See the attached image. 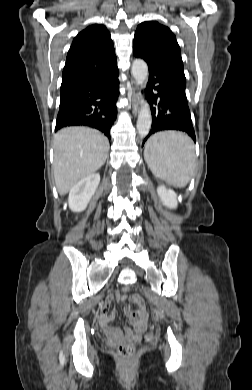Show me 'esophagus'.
<instances>
[{
	"mask_svg": "<svg viewBox=\"0 0 252 390\" xmlns=\"http://www.w3.org/2000/svg\"><path fill=\"white\" fill-rule=\"evenodd\" d=\"M140 105L141 100L139 99L138 86L134 81H132V110L134 115L138 113Z\"/></svg>",
	"mask_w": 252,
	"mask_h": 390,
	"instance_id": "esophagus-1",
	"label": "esophagus"
}]
</instances>
